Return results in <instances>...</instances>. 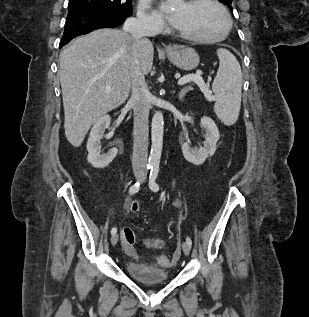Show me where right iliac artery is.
Here are the masks:
<instances>
[{
  "mask_svg": "<svg viewBox=\"0 0 309 317\" xmlns=\"http://www.w3.org/2000/svg\"><path fill=\"white\" fill-rule=\"evenodd\" d=\"M150 168H152L150 165L147 166V170H150ZM140 189V182H136L134 185H132L129 189V194L132 195V194H135L139 191ZM117 232V228L114 227L111 229V234L114 235L116 234Z\"/></svg>",
  "mask_w": 309,
  "mask_h": 317,
  "instance_id": "right-iliac-artery-1",
  "label": "right iliac artery"
}]
</instances>
